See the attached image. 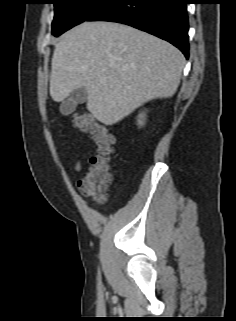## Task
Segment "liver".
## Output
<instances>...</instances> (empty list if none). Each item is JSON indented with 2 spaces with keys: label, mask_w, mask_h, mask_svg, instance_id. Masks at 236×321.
Wrapping results in <instances>:
<instances>
[{
  "label": "liver",
  "mask_w": 236,
  "mask_h": 321,
  "mask_svg": "<svg viewBox=\"0 0 236 321\" xmlns=\"http://www.w3.org/2000/svg\"><path fill=\"white\" fill-rule=\"evenodd\" d=\"M181 51L167 41L114 22H84L56 44L50 95L63 102L84 87L87 109L113 125L143 103L175 94L184 68Z\"/></svg>",
  "instance_id": "obj_1"
}]
</instances>
